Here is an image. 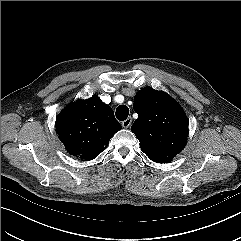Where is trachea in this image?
<instances>
[{
  "label": "trachea",
  "mask_w": 241,
  "mask_h": 241,
  "mask_svg": "<svg viewBox=\"0 0 241 241\" xmlns=\"http://www.w3.org/2000/svg\"><path fill=\"white\" fill-rule=\"evenodd\" d=\"M129 115V108L126 105H120L116 109V117L120 121H124L127 119Z\"/></svg>",
  "instance_id": "1"
}]
</instances>
